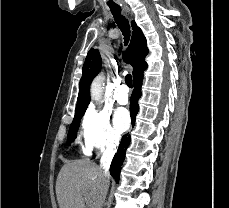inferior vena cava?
<instances>
[{
	"mask_svg": "<svg viewBox=\"0 0 229 208\" xmlns=\"http://www.w3.org/2000/svg\"><path fill=\"white\" fill-rule=\"evenodd\" d=\"M115 152H114V148H110V150H106V152H104L102 158H101V178L102 180H104V178H106V180H108V184H104L103 186V190L101 192L102 196H103V202L105 200V196L107 194V188L109 186V168H110V164L113 160V156H114Z\"/></svg>",
	"mask_w": 229,
	"mask_h": 208,
	"instance_id": "inferior-vena-cava-1",
	"label": "inferior vena cava"
}]
</instances>
